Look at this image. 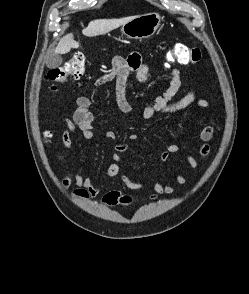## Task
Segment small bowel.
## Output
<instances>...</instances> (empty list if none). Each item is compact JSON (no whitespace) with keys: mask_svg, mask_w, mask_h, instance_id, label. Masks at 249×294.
<instances>
[{"mask_svg":"<svg viewBox=\"0 0 249 294\" xmlns=\"http://www.w3.org/2000/svg\"><path fill=\"white\" fill-rule=\"evenodd\" d=\"M126 62L127 69L124 72L103 75L94 82L93 87L100 88L116 77L115 103L120 111L127 114L132 111V107L126 97V87L129 74L133 73L135 75L136 81L138 83H142L148 74L149 66L142 59L138 52H134L128 58H126ZM179 92L184 93L183 97L174 103H170V100L174 98ZM194 103L199 109H210V103L207 100L198 99L195 90H185L182 84L180 71L178 69H173L171 71V80L168 88L162 95L158 96L151 105L145 107L142 110L141 117L144 120H150L156 115L175 114L186 109ZM76 104L78 106V110L75 112L72 120L66 121L65 129L61 134V143L64 148L68 150L72 149L73 147L72 133L74 131L79 130L85 140H90L94 136V116L89 111V108L92 104L90 96L87 94L78 96L76 99ZM106 136L110 140H115L117 138V134L113 130L107 131ZM213 136V126H206L202 128L198 134V138L202 142L198 148V152L205 161H207L210 157V147L208 142L213 139ZM127 137L130 140H134L137 138V135L128 134ZM128 149L129 147L125 144H116L113 146V153L110 156L112 162L107 167L106 176L108 178L119 177L122 184V189L112 190L105 193L101 199L102 206L107 207L116 204L117 201L121 198V195L127 190L139 191L146 186L145 181H135L127 175H120V153L126 152ZM179 152L180 148L178 145L169 144L166 149L160 153V160L167 162ZM58 158L60 161L64 162V157L62 154H59ZM183 158L192 170L197 169L198 161L194 156L185 154ZM173 176L174 181L178 186H184L187 183L186 177L179 170L175 169ZM72 184L76 186V188L72 191V195L82 200L92 199L102 189V185L94 182L92 178L69 171L67 176L64 178L62 185L65 189H68ZM174 192L175 189L171 183H162L161 181L157 180L153 183V193L151 194L150 198L156 200L161 196L171 195Z\"/></svg>","mask_w":249,"mask_h":294,"instance_id":"obj_1","label":"small bowel"}]
</instances>
